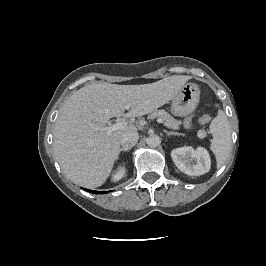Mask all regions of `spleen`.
<instances>
[{"instance_id":"obj_1","label":"spleen","mask_w":266,"mask_h":266,"mask_svg":"<svg viewBox=\"0 0 266 266\" xmlns=\"http://www.w3.org/2000/svg\"><path fill=\"white\" fill-rule=\"evenodd\" d=\"M209 132L212 134L211 151L217 161V167H221L231 150V129L227 116L222 110L212 120Z\"/></svg>"}]
</instances>
